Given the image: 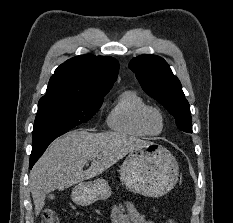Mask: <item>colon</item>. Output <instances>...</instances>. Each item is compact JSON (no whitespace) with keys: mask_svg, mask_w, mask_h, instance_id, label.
I'll return each mask as SVG.
<instances>
[{"mask_svg":"<svg viewBox=\"0 0 233 223\" xmlns=\"http://www.w3.org/2000/svg\"><path fill=\"white\" fill-rule=\"evenodd\" d=\"M43 223H59L56 213L52 209L43 211ZM165 223H176L173 218H168Z\"/></svg>","mask_w":233,"mask_h":223,"instance_id":"obj_1","label":"colon"}]
</instances>
